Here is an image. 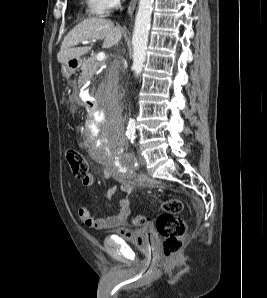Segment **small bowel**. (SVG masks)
I'll list each match as a JSON object with an SVG mask.
<instances>
[{"label":"small bowel","mask_w":267,"mask_h":298,"mask_svg":"<svg viewBox=\"0 0 267 298\" xmlns=\"http://www.w3.org/2000/svg\"><path fill=\"white\" fill-rule=\"evenodd\" d=\"M105 176L109 177L110 173L105 172ZM116 180L119 182L120 189L123 192V197L119 200L118 211L105 218H97L93 215V211L88 206H81L78 210L79 218L81 221L89 228L96 230L104 229H118L122 235H130V230L125 226L127 219L130 215V200L128 195L132 192V185L126 179H124L120 174L115 175ZM94 182L93 176L90 174L86 181H83L84 186H91ZM149 186H154L152 181H145ZM117 192V187L115 185L111 186L107 195L109 198H113Z\"/></svg>","instance_id":"1"}]
</instances>
